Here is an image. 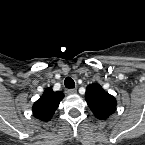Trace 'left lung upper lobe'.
<instances>
[{
  "label": "left lung upper lobe",
  "mask_w": 145,
  "mask_h": 145,
  "mask_svg": "<svg viewBox=\"0 0 145 145\" xmlns=\"http://www.w3.org/2000/svg\"><path fill=\"white\" fill-rule=\"evenodd\" d=\"M85 98L88 106L98 119L106 120L116 110L117 101L115 97L105 92L97 83L87 86Z\"/></svg>",
  "instance_id": "left-lung-upper-lobe-1"
}]
</instances>
